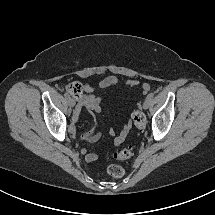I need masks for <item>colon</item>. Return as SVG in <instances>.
I'll return each instance as SVG.
<instances>
[{
    "label": "colon",
    "mask_w": 215,
    "mask_h": 215,
    "mask_svg": "<svg viewBox=\"0 0 215 215\" xmlns=\"http://www.w3.org/2000/svg\"><path fill=\"white\" fill-rule=\"evenodd\" d=\"M67 91L71 95H73L74 97L77 98L82 92V85L78 82H72L67 85ZM132 118H133L134 124L138 130H143L145 128V117L139 109H136L133 112ZM132 154H133V147L127 146V147L123 148L122 150L115 152L113 154V158L116 160L122 161V160H126V159L130 158L132 156ZM107 171H108L109 175L114 178H120L125 173L124 168L121 165L116 164V163L109 165Z\"/></svg>",
    "instance_id": "obj_1"
}]
</instances>
